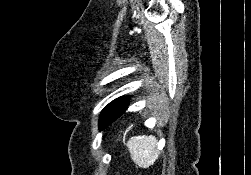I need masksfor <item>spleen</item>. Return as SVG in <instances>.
<instances>
[{
  "mask_svg": "<svg viewBox=\"0 0 251 175\" xmlns=\"http://www.w3.org/2000/svg\"><path fill=\"white\" fill-rule=\"evenodd\" d=\"M126 145L139 167H149L159 157L158 139L154 135H134L128 139Z\"/></svg>",
  "mask_w": 251,
  "mask_h": 175,
  "instance_id": "1",
  "label": "spleen"
}]
</instances>
